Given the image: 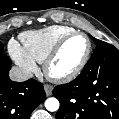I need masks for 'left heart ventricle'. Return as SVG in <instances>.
Returning <instances> with one entry per match:
<instances>
[{
  "mask_svg": "<svg viewBox=\"0 0 119 119\" xmlns=\"http://www.w3.org/2000/svg\"><path fill=\"white\" fill-rule=\"evenodd\" d=\"M87 46L83 36L77 35L69 39L51 65L52 74L61 75L73 70L84 57Z\"/></svg>",
  "mask_w": 119,
  "mask_h": 119,
  "instance_id": "obj_1",
  "label": "left heart ventricle"
}]
</instances>
